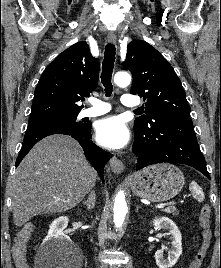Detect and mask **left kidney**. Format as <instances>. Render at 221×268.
<instances>
[{"label": "left kidney", "mask_w": 221, "mask_h": 268, "mask_svg": "<svg viewBox=\"0 0 221 268\" xmlns=\"http://www.w3.org/2000/svg\"><path fill=\"white\" fill-rule=\"evenodd\" d=\"M153 225L158 229H165L169 231L171 239V250L168 257L164 258L163 250H157L155 253L156 264L159 268H171L178 261L182 254V236L177 225L167 217L156 218L153 220Z\"/></svg>", "instance_id": "left-kidney-1"}]
</instances>
